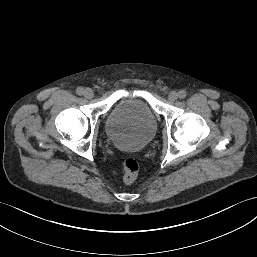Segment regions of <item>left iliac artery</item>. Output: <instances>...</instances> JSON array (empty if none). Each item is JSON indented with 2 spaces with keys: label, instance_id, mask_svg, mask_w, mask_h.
I'll return each mask as SVG.
<instances>
[{
  "label": "left iliac artery",
  "instance_id": "obj_1",
  "mask_svg": "<svg viewBox=\"0 0 257 257\" xmlns=\"http://www.w3.org/2000/svg\"><path fill=\"white\" fill-rule=\"evenodd\" d=\"M178 97L180 99H184L186 97V92L184 90L179 91Z\"/></svg>",
  "mask_w": 257,
  "mask_h": 257
}]
</instances>
